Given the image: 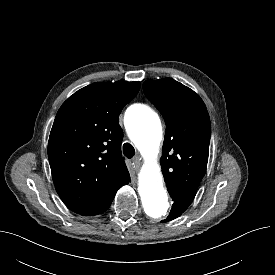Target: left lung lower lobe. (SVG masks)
Wrapping results in <instances>:
<instances>
[{"label": "left lung lower lobe", "mask_w": 275, "mask_h": 275, "mask_svg": "<svg viewBox=\"0 0 275 275\" xmlns=\"http://www.w3.org/2000/svg\"><path fill=\"white\" fill-rule=\"evenodd\" d=\"M168 192L174 203L170 215L162 222H167L179 217L189 207L196 195L193 191L184 190H169Z\"/></svg>", "instance_id": "1"}]
</instances>
